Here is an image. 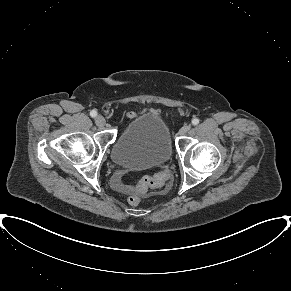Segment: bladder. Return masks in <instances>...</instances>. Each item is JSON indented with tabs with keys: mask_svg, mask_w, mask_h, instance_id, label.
Listing matches in <instances>:
<instances>
[{
	"mask_svg": "<svg viewBox=\"0 0 291 291\" xmlns=\"http://www.w3.org/2000/svg\"><path fill=\"white\" fill-rule=\"evenodd\" d=\"M173 154L170 132L155 114L133 119L118 134L111 149V159L128 169H149L166 164Z\"/></svg>",
	"mask_w": 291,
	"mask_h": 291,
	"instance_id": "31cf9c89",
	"label": "bladder"
}]
</instances>
